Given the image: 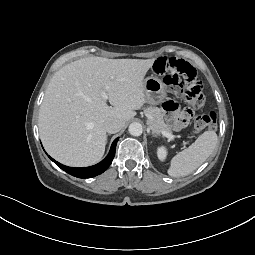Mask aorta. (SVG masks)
Masks as SVG:
<instances>
[{
    "instance_id": "aorta-1",
    "label": "aorta",
    "mask_w": 255,
    "mask_h": 255,
    "mask_svg": "<svg viewBox=\"0 0 255 255\" xmlns=\"http://www.w3.org/2000/svg\"><path fill=\"white\" fill-rule=\"evenodd\" d=\"M128 131L133 136H140L143 132L142 125L140 123H131Z\"/></svg>"
}]
</instances>
